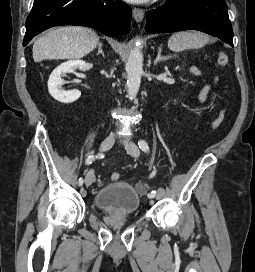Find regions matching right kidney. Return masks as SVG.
<instances>
[{
  "label": "right kidney",
  "mask_w": 255,
  "mask_h": 272,
  "mask_svg": "<svg viewBox=\"0 0 255 272\" xmlns=\"http://www.w3.org/2000/svg\"><path fill=\"white\" fill-rule=\"evenodd\" d=\"M86 62L82 60L67 61L56 67L51 73L48 80V91L50 95L61 103H72L76 101L80 96L79 90L66 91L62 89L64 80L62 77L66 73H72L75 70H83L86 67Z\"/></svg>",
  "instance_id": "obj_1"
}]
</instances>
